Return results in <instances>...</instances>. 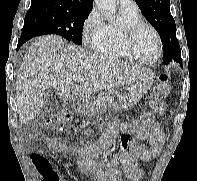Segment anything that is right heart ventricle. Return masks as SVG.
I'll use <instances>...</instances> for the list:
<instances>
[{"mask_svg": "<svg viewBox=\"0 0 197 181\" xmlns=\"http://www.w3.org/2000/svg\"><path fill=\"white\" fill-rule=\"evenodd\" d=\"M117 21L106 24L101 37L94 43L93 48L101 56L116 59H133L123 44L124 29L142 20L138 8L122 9Z\"/></svg>", "mask_w": 197, "mask_h": 181, "instance_id": "right-heart-ventricle-1", "label": "right heart ventricle"}]
</instances>
